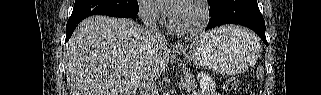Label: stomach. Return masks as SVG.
Wrapping results in <instances>:
<instances>
[{"label":"stomach","mask_w":321,"mask_h":95,"mask_svg":"<svg viewBox=\"0 0 321 95\" xmlns=\"http://www.w3.org/2000/svg\"><path fill=\"white\" fill-rule=\"evenodd\" d=\"M177 51L209 70L234 75L246 70L257 60L260 43L246 29L228 26L215 29L189 47Z\"/></svg>","instance_id":"0dacf381"}]
</instances>
